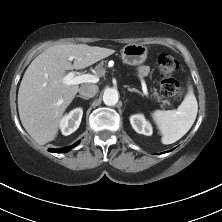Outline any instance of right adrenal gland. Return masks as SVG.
Segmentation results:
<instances>
[{
  "mask_svg": "<svg viewBox=\"0 0 222 222\" xmlns=\"http://www.w3.org/2000/svg\"><path fill=\"white\" fill-rule=\"evenodd\" d=\"M76 97L82 98V99H84V100H88V99H89V98L83 97V96H81V95H77Z\"/></svg>",
  "mask_w": 222,
  "mask_h": 222,
  "instance_id": "1",
  "label": "right adrenal gland"
}]
</instances>
